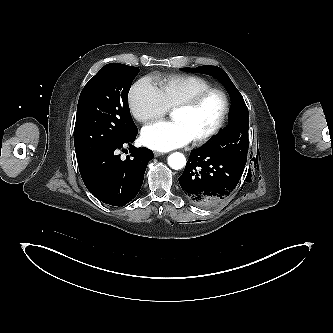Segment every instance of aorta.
I'll return each instance as SVG.
<instances>
[{
	"mask_svg": "<svg viewBox=\"0 0 333 333\" xmlns=\"http://www.w3.org/2000/svg\"><path fill=\"white\" fill-rule=\"evenodd\" d=\"M168 164L174 170L182 169L186 164V158L182 153L175 152L168 157Z\"/></svg>",
	"mask_w": 333,
	"mask_h": 333,
	"instance_id": "aorta-1",
	"label": "aorta"
}]
</instances>
